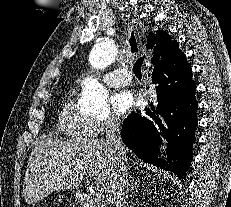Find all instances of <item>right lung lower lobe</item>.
<instances>
[{
  "mask_svg": "<svg viewBox=\"0 0 231 207\" xmlns=\"http://www.w3.org/2000/svg\"><path fill=\"white\" fill-rule=\"evenodd\" d=\"M162 59L152 61L156 95L151 106L132 112L124 120L121 137L140 159L182 178L193 157L198 109L196 89L187 60ZM161 137L167 141V158L162 162L158 159Z\"/></svg>",
  "mask_w": 231,
  "mask_h": 207,
  "instance_id": "1",
  "label": "right lung lower lobe"
}]
</instances>
